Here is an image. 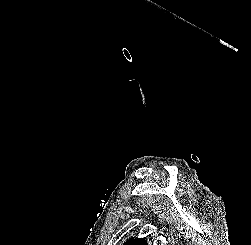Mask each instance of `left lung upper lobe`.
Instances as JSON below:
<instances>
[{
  "label": "left lung upper lobe",
  "instance_id": "obj_1",
  "mask_svg": "<svg viewBox=\"0 0 251 245\" xmlns=\"http://www.w3.org/2000/svg\"><path fill=\"white\" fill-rule=\"evenodd\" d=\"M124 245H147V243L145 242V239L140 238H130L129 240H127Z\"/></svg>",
  "mask_w": 251,
  "mask_h": 245
}]
</instances>
